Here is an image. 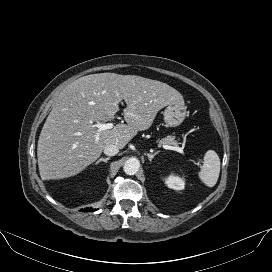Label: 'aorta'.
<instances>
[{
  "label": "aorta",
  "instance_id": "762f6f07",
  "mask_svg": "<svg viewBox=\"0 0 272 272\" xmlns=\"http://www.w3.org/2000/svg\"><path fill=\"white\" fill-rule=\"evenodd\" d=\"M140 168V161L137 158L131 157L129 158L123 167L124 172L127 175H135Z\"/></svg>",
  "mask_w": 272,
  "mask_h": 272
}]
</instances>
